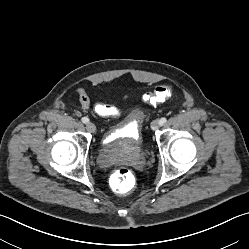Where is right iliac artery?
I'll return each mask as SVG.
<instances>
[{
  "label": "right iliac artery",
  "instance_id": "obj_1",
  "mask_svg": "<svg viewBox=\"0 0 249 249\" xmlns=\"http://www.w3.org/2000/svg\"><path fill=\"white\" fill-rule=\"evenodd\" d=\"M81 120H82L83 123H88L89 122V119L87 117H83Z\"/></svg>",
  "mask_w": 249,
  "mask_h": 249
}]
</instances>
